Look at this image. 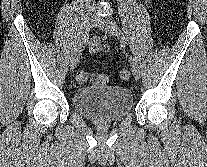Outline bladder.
<instances>
[{"label":"bladder","mask_w":207,"mask_h":167,"mask_svg":"<svg viewBox=\"0 0 207 167\" xmlns=\"http://www.w3.org/2000/svg\"><path fill=\"white\" fill-rule=\"evenodd\" d=\"M74 108L83 116L99 122L118 121L132 110L133 97L120 85L78 88L72 96Z\"/></svg>","instance_id":"obj_1"}]
</instances>
